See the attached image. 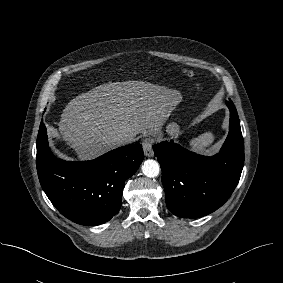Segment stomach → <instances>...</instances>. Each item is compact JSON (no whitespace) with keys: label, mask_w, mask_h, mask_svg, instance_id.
<instances>
[{"label":"stomach","mask_w":283,"mask_h":283,"mask_svg":"<svg viewBox=\"0 0 283 283\" xmlns=\"http://www.w3.org/2000/svg\"><path fill=\"white\" fill-rule=\"evenodd\" d=\"M166 132L169 136L174 137L180 133V128L175 122H171L167 124Z\"/></svg>","instance_id":"stomach-1"}]
</instances>
